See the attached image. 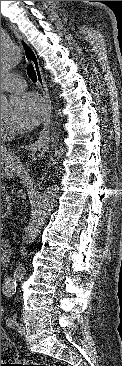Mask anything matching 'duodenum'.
Returning <instances> with one entry per match:
<instances>
[{
    "label": "duodenum",
    "instance_id": "410a0bca",
    "mask_svg": "<svg viewBox=\"0 0 122 366\" xmlns=\"http://www.w3.org/2000/svg\"><path fill=\"white\" fill-rule=\"evenodd\" d=\"M10 250L9 248V244L6 243V242H1V253L2 252H8ZM19 278V274L16 273L15 274V279H18Z\"/></svg>",
    "mask_w": 122,
    "mask_h": 366
}]
</instances>
